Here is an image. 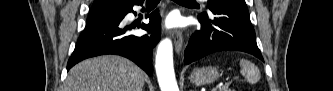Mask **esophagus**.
<instances>
[{"instance_id": "34e87169", "label": "esophagus", "mask_w": 333, "mask_h": 91, "mask_svg": "<svg viewBox=\"0 0 333 91\" xmlns=\"http://www.w3.org/2000/svg\"><path fill=\"white\" fill-rule=\"evenodd\" d=\"M174 45L176 53L179 54L183 45V36L181 31L175 32Z\"/></svg>"}]
</instances>
